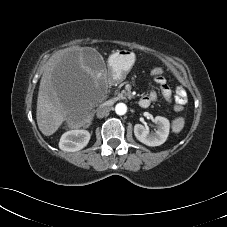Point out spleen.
<instances>
[{
    "mask_svg": "<svg viewBox=\"0 0 227 227\" xmlns=\"http://www.w3.org/2000/svg\"><path fill=\"white\" fill-rule=\"evenodd\" d=\"M184 127V119L183 118H178L176 120L173 121V131L175 133H178L182 130V128Z\"/></svg>",
    "mask_w": 227,
    "mask_h": 227,
    "instance_id": "obj_1",
    "label": "spleen"
}]
</instances>
